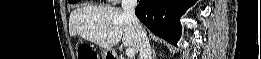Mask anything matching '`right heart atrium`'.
<instances>
[{
  "instance_id": "d8ad5b80",
  "label": "right heart atrium",
  "mask_w": 261,
  "mask_h": 59,
  "mask_svg": "<svg viewBox=\"0 0 261 59\" xmlns=\"http://www.w3.org/2000/svg\"><path fill=\"white\" fill-rule=\"evenodd\" d=\"M111 2H114V3H117L118 2V0H110Z\"/></svg>"
}]
</instances>
